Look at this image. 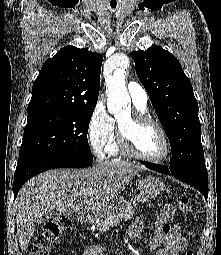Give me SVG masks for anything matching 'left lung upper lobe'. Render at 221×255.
<instances>
[{
  "label": "left lung upper lobe",
  "mask_w": 221,
  "mask_h": 255,
  "mask_svg": "<svg viewBox=\"0 0 221 255\" xmlns=\"http://www.w3.org/2000/svg\"><path fill=\"white\" fill-rule=\"evenodd\" d=\"M131 56L169 138L170 171L179 174L206 168L198 103L179 61L159 46L132 52Z\"/></svg>",
  "instance_id": "obj_1"
}]
</instances>
